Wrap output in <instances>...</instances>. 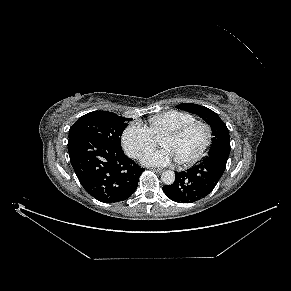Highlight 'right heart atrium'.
I'll return each instance as SVG.
<instances>
[{"label": "right heart atrium", "instance_id": "obj_1", "mask_svg": "<svg viewBox=\"0 0 291 291\" xmlns=\"http://www.w3.org/2000/svg\"><path fill=\"white\" fill-rule=\"evenodd\" d=\"M156 142L157 138L151 130L139 122L130 124L122 134L123 147L134 158L140 157L145 151L152 148Z\"/></svg>", "mask_w": 291, "mask_h": 291}]
</instances>
